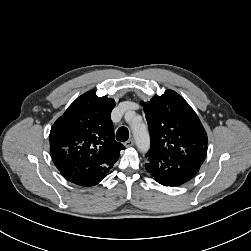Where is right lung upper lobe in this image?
I'll use <instances>...</instances> for the list:
<instances>
[{"label":"right lung upper lobe","mask_w":251,"mask_h":251,"mask_svg":"<svg viewBox=\"0 0 251 251\" xmlns=\"http://www.w3.org/2000/svg\"><path fill=\"white\" fill-rule=\"evenodd\" d=\"M114 99L89 91L78 97L50 131V153L60 173L70 182L104 177L124 146L115 141L110 118Z\"/></svg>","instance_id":"cb5924a9"}]
</instances>
